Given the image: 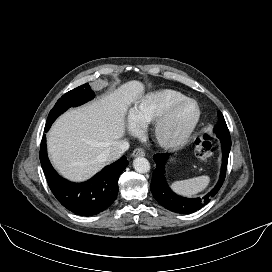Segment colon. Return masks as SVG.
I'll list each match as a JSON object with an SVG mask.
<instances>
[{
  "label": "colon",
  "mask_w": 272,
  "mask_h": 272,
  "mask_svg": "<svg viewBox=\"0 0 272 272\" xmlns=\"http://www.w3.org/2000/svg\"><path fill=\"white\" fill-rule=\"evenodd\" d=\"M210 140V135L207 132L201 133L196 139L195 151L199 158L208 160L214 155V148Z\"/></svg>",
  "instance_id": "colon-1"
}]
</instances>
